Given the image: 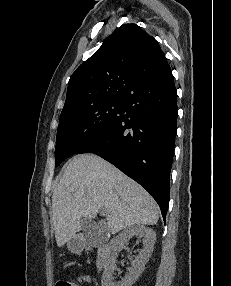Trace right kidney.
<instances>
[{
	"instance_id": "1",
	"label": "right kidney",
	"mask_w": 231,
	"mask_h": 286,
	"mask_svg": "<svg viewBox=\"0 0 231 286\" xmlns=\"http://www.w3.org/2000/svg\"><path fill=\"white\" fill-rule=\"evenodd\" d=\"M133 237L142 239L143 248L132 262V267L129 273L124 277V279H122V281L116 282L113 277L114 271L117 269L116 259L123 247L127 245ZM155 241V231L143 225L128 227L114 237L110 242L108 260L101 280L102 286H132L144 271L145 265L149 261L153 252Z\"/></svg>"
}]
</instances>
